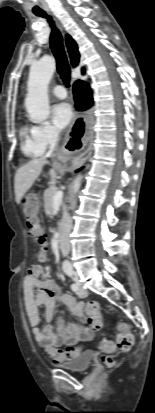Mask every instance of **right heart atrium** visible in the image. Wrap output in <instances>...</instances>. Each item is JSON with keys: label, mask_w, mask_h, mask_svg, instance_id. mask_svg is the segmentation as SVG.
<instances>
[{"label": "right heart atrium", "mask_w": 155, "mask_h": 413, "mask_svg": "<svg viewBox=\"0 0 155 413\" xmlns=\"http://www.w3.org/2000/svg\"><path fill=\"white\" fill-rule=\"evenodd\" d=\"M31 129L33 139L42 152L54 146L59 140V132L49 122L35 125Z\"/></svg>", "instance_id": "obj_1"}]
</instances>
